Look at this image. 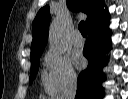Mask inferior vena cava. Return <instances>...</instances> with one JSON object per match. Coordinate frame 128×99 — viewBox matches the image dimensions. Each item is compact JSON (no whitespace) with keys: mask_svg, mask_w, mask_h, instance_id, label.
I'll list each match as a JSON object with an SVG mask.
<instances>
[{"mask_svg":"<svg viewBox=\"0 0 128 99\" xmlns=\"http://www.w3.org/2000/svg\"><path fill=\"white\" fill-rule=\"evenodd\" d=\"M77 90V79L76 77H72L68 80L65 88L62 92L61 99H74Z\"/></svg>","mask_w":128,"mask_h":99,"instance_id":"inferior-vena-cava-1","label":"inferior vena cava"}]
</instances>
